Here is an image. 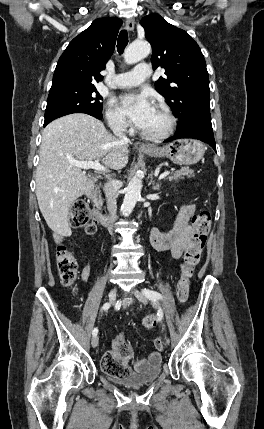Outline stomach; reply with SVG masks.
<instances>
[{"label":"stomach","instance_id":"0dacf381","mask_svg":"<svg viewBox=\"0 0 264 429\" xmlns=\"http://www.w3.org/2000/svg\"><path fill=\"white\" fill-rule=\"evenodd\" d=\"M151 157H167L173 162L183 165L197 163L204 155V145L195 139H179L163 147L142 151Z\"/></svg>","mask_w":264,"mask_h":429}]
</instances>
